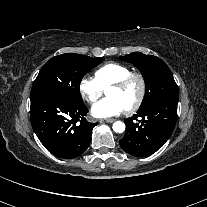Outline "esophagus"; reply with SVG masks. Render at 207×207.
<instances>
[{
    "instance_id": "1",
    "label": "esophagus",
    "mask_w": 207,
    "mask_h": 207,
    "mask_svg": "<svg viewBox=\"0 0 207 207\" xmlns=\"http://www.w3.org/2000/svg\"><path fill=\"white\" fill-rule=\"evenodd\" d=\"M102 121H105L107 123H112L115 121V119L114 118H105V119L101 120L100 122H102Z\"/></svg>"
}]
</instances>
